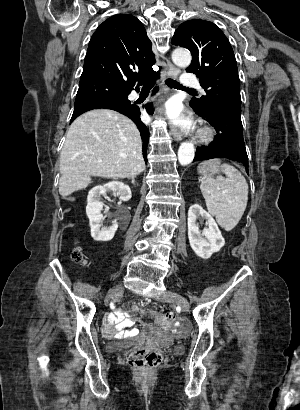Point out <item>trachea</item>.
I'll use <instances>...</instances> for the list:
<instances>
[{
  "mask_svg": "<svg viewBox=\"0 0 300 410\" xmlns=\"http://www.w3.org/2000/svg\"><path fill=\"white\" fill-rule=\"evenodd\" d=\"M165 82H166L167 86H169V87H171V88L184 89V90H187V91L196 92L194 89H190V88H185V87H183L179 82H177V81H175V80H173V79H170V78L167 79ZM154 84H155L154 81L147 82V83L143 86L142 90H143V91H150V89L154 86Z\"/></svg>",
  "mask_w": 300,
  "mask_h": 410,
  "instance_id": "obj_1",
  "label": "trachea"
}]
</instances>
